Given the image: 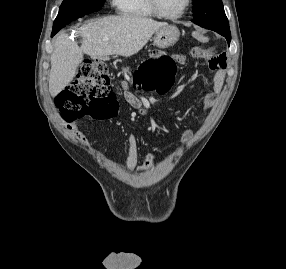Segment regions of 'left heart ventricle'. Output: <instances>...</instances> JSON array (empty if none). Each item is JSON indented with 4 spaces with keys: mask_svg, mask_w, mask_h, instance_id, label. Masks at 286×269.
I'll list each match as a JSON object with an SVG mask.
<instances>
[{
    "mask_svg": "<svg viewBox=\"0 0 286 269\" xmlns=\"http://www.w3.org/2000/svg\"><path fill=\"white\" fill-rule=\"evenodd\" d=\"M161 9L170 15L179 13L185 5L186 0H158Z\"/></svg>",
    "mask_w": 286,
    "mask_h": 269,
    "instance_id": "1",
    "label": "left heart ventricle"
}]
</instances>
